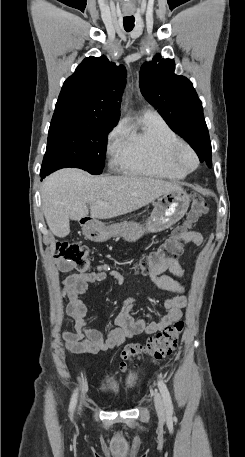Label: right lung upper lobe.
<instances>
[{
  "label": "right lung upper lobe",
  "instance_id": "right-lung-upper-lobe-1",
  "mask_svg": "<svg viewBox=\"0 0 245 457\" xmlns=\"http://www.w3.org/2000/svg\"><path fill=\"white\" fill-rule=\"evenodd\" d=\"M126 70L105 56L88 57L63 84L54 114L119 120Z\"/></svg>",
  "mask_w": 245,
  "mask_h": 457
}]
</instances>
